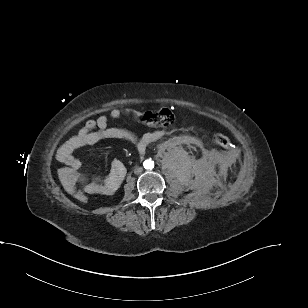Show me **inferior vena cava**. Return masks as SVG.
Returning a JSON list of instances; mask_svg holds the SVG:
<instances>
[{"label":"inferior vena cava","mask_w":308,"mask_h":308,"mask_svg":"<svg viewBox=\"0 0 308 308\" xmlns=\"http://www.w3.org/2000/svg\"><path fill=\"white\" fill-rule=\"evenodd\" d=\"M142 170H143L142 167H136V168L134 169V173H135V174H139V173L142 172Z\"/></svg>","instance_id":"602c4592"}]
</instances>
